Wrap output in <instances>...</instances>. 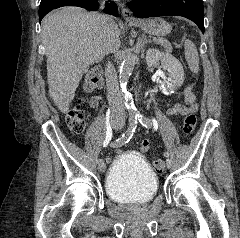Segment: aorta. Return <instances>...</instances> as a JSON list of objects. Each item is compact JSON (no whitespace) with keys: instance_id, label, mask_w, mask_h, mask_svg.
<instances>
[{"instance_id":"762f6f07","label":"aorta","mask_w":240,"mask_h":238,"mask_svg":"<svg viewBox=\"0 0 240 238\" xmlns=\"http://www.w3.org/2000/svg\"><path fill=\"white\" fill-rule=\"evenodd\" d=\"M136 60L137 57L134 53H127L123 58L119 72V82L122 90V96L130 116H134L137 113V109L131 96L128 94L126 87L134 69Z\"/></svg>"}]
</instances>
